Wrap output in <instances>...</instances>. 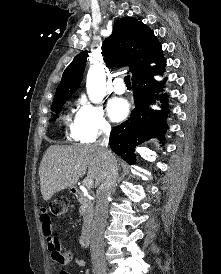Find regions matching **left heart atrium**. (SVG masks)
Wrapping results in <instances>:
<instances>
[{
    "instance_id": "39dd6f15",
    "label": "left heart atrium",
    "mask_w": 221,
    "mask_h": 274,
    "mask_svg": "<svg viewBox=\"0 0 221 274\" xmlns=\"http://www.w3.org/2000/svg\"><path fill=\"white\" fill-rule=\"evenodd\" d=\"M108 115L115 122L125 119L130 111V105L123 98H112L107 105Z\"/></svg>"
}]
</instances>
